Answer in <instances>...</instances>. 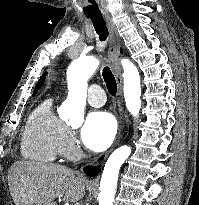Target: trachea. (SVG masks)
I'll return each mask as SVG.
<instances>
[{"mask_svg":"<svg viewBox=\"0 0 199 205\" xmlns=\"http://www.w3.org/2000/svg\"><path fill=\"white\" fill-rule=\"evenodd\" d=\"M93 26L95 28L96 33L99 35V40L101 42L106 41L108 37V29L106 26V23L103 19V17H90ZM102 76L104 78V81L106 83V87L108 89V92L114 96L117 92V83L115 80L114 75L112 74L110 68L108 66H105L102 71Z\"/></svg>","mask_w":199,"mask_h":205,"instance_id":"trachea-1","label":"trachea"}]
</instances>
